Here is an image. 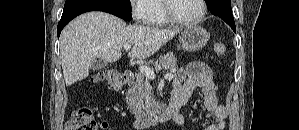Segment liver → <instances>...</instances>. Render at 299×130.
<instances>
[{
    "label": "liver",
    "mask_w": 299,
    "mask_h": 130,
    "mask_svg": "<svg viewBox=\"0 0 299 130\" xmlns=\"http://www.w3.org/2000/svg\"><path fill=\"white\" fill-rule=\"evenodd\" d=\"M180 32V28L129 25L104 12H87L72 20L60 36V59L67 86L85 79L96 58L116 62L121 49L132 45L128 57L146 59Z\"/></svg>",
    "instance_id": "1"
}]
</instances>
